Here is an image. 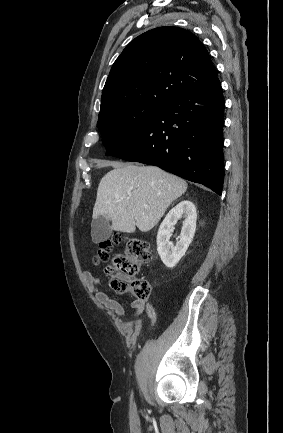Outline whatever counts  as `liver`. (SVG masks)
I'll return each mask as SVG.
<instances>
[{"label":"liver","instance_id":"1","mask_svg":"<svg viewBox=\"0 0 283 433\" xmlns=\"http://www.w3.org/2000/svg\"><path fill=\"white\" fill-rule=\"evenodd\" d=\"M114 170L99 182L93 219L99 214L112 221V231H151L169 204L184 194L187 182L158 166L113 162Z\"/></svg>","mask_w":283,"mask_h":433}]
</instances>
